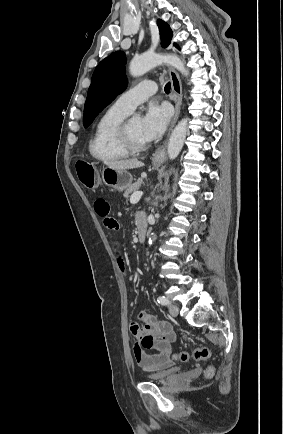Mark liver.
<instances>
[{"instance_id":"1","label":"liver","mask_w":283,"mask_h":434,"mask_svg":"<svg viewBox=\"0 0 283 434\" xmlns=\"http://www.w3.org/2000/svg\"><path fill=\"white\" fill-rule=\"evenodd\" d=\"M109 168L117 170H129L143 166V163L137 159L119 160V161H105Z\"/></svg>"}]
</instances>
